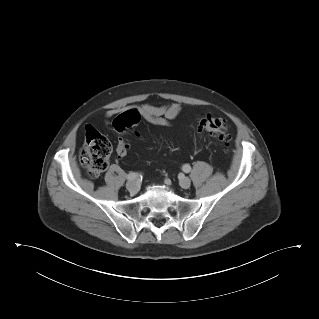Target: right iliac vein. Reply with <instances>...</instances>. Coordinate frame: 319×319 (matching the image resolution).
<instances>
[{"label": "right iliac vein", "instance_id": "right-iliac-vein-1", "mask_svg": "<svg viewBox=\"0 0 319 319\" xmlns=\"http://www.w3.org/2000/svg\"><path fill=\"white\" fill-rule=\"evenodd\" d=\"M126 188L130 193L135 194L139 191L140 186L136 181H129L126 184Z\"/></svg>", "mask_w": 319, "mask_h": 319}]
</instances>
